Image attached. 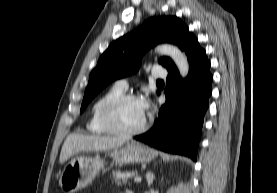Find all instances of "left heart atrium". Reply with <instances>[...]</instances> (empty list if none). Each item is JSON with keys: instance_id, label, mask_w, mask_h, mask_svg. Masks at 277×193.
<instances>
[{"instance_id": "1", "label": "left heart atrium", "mask_w": 277, "mask_h": 193, "mask_svg": "<svg viewBox=\"0 0 277 193\" xmlns=\"http://www.w3.org/2000/svg\"><path fill=\"white\" fill-rule=\"evenodd\" d=\"M139 102H140L141 107H142L143 111L145 112V114H148L151 110V103H150L149 99L146 97H142L139 99Z\"/></svg>"}]
</instances>
